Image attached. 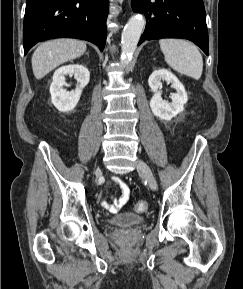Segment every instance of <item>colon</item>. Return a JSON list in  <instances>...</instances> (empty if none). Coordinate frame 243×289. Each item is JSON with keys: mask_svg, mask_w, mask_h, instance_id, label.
I'll return each mask as SVG.
<instances>
[{"mask_svg": "<svg viewBox=\"0 0 243 289\" xmlns=\"http://www.w3.org/2000/svg\"><path fill=\"white\" fill-rule=\"evenodd\" d=\"M134 209L138 213H144L148 209V204H147L146 201H143V200L138 201V202L135 203Z\"/></svg>", "mask_w": 243, "mask_h": 289, "instance_id": "1", "label": "colon"}]
</instances>
